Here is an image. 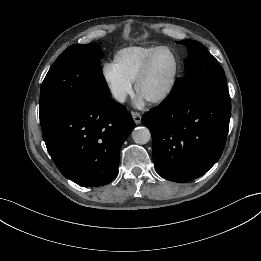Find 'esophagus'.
Here are the masks:
<instances>
[{
	"label": "esophagus",
	"instance_id": "esophagus-1",
	"mask_svg": "<svg viewBox=\"0 0 261 261\" xmlns=\"http://www.w3.org/2000/svg\"><path fill=\"white\" fill-rule=\"evenodd\" d=\"M131 114H132V117H133V120H134L135 124H137V125L140 124L141 123V119H142L140 113L133 111Z\"/></svg>",
	"mask_w": 261,
	"mask_h": 261
}]
</instances>
